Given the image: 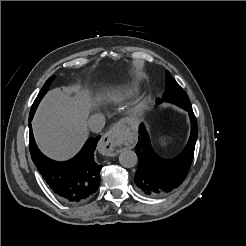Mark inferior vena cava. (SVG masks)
Segmentation results:
<instances>
[{"mask_svg":"<svg viewBox=\"0 0 246 246\" xmlns=\"http://www.w3.org/2000/svg\"><path fill=\"white\" fill-rule=\"evenodd\" d=\"M105 126V117L102 114H95L90 116L88 120V127L94 133H99Z\"/></svg>","mask_w":246,"mask_h":246,"instance_id":"inferior-vena-cava-1","label":"inferior vena cava"}]
</instances>
